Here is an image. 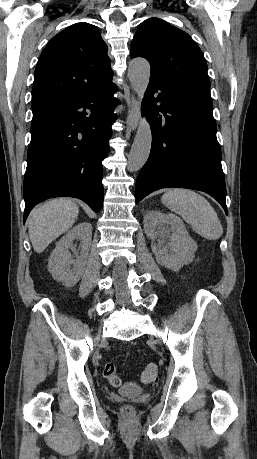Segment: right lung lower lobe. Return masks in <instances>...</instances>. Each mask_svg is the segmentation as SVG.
Here are the masks:
<instances>
[{"label":"right lung lower lobe","instance_id":"1","mask_svg":"<svg viewBox=\"0 0 257 459\" xmlns=\"http://www.w3.org/2000/svg\"><path fill=\"white\" fill-rule=\"evenodd\" d=\"M116 90L110 82L86 95L32 110L24 223L36 204L53 197L81 199L96 213L102 209V160L110 150Z\"/></svg>","mask_w":257,"mask_h":459}]
</instances>
